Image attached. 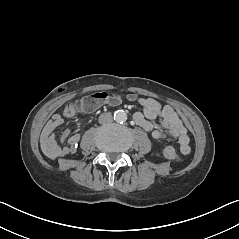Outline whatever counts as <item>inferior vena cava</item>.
Segmentation results:
<instances>
[{"instance_id": "obj_1", "label": "inferior vena cava", "mask_w": 239, "mask_h": 239, "mask_svg": "<svg viewBox=\"0 0 239 239\" xmlns=\"http://www.w3.org/2000/svg\"><path fill=\"white\" fill-rule=\"evenodd\" d=\"M98 121L102 125L109 124L112 122V115L110 113H102L99 116Z\"/></svg>"}]
</instances>
